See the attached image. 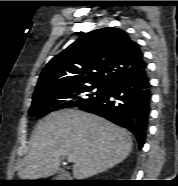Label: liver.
Here are the masks:
<instances>
[{"label": "liver", "mask_w": 178, "mask_h": 186, "mask_svg": "<svg viewBox=\"0 0 178 186\" xmlns=\"http://www.w3.org/2000/svg\"><path fill=\"white\" fill-rule=\"evenodd\" d=\"M128 131L96 115L63 109L36 126L27 155L17 165L23 180L54 175L62 157H71L73 175L81 180L121 163L132 150Z\"/></svg>", "instance_id": "6515ba94"}]
</instances>
